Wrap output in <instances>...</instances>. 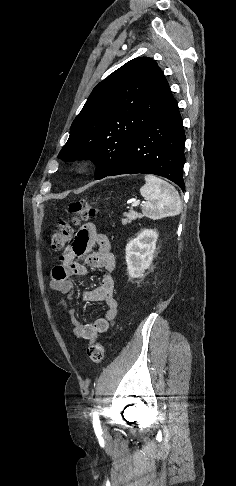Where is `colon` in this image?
I'll list each match as a JSON object with an SVG mask.
<instances>
[{
  "mask_svg": "<svg viewBox=\"0 0 236 486\" xmlns=\"http://www.w3.org/2000/svg\"><path fill=\"white\" fill-rule=\"evenodd\" d=\"M71 217L68 220H61L58 228L51 235V248L53 251H60L71 241L73 226L81 221H86L94 217L97 213L96 208L88 202H75L69 208ZM88 356L95 364H100L104 358V348L100 342H95L88 348Z\"/></svg>",
  "mask_w": 236,
  "mask_h": 486,
  "instance_id": "colon-1",
  "label": "colon"
}]
</instances>
